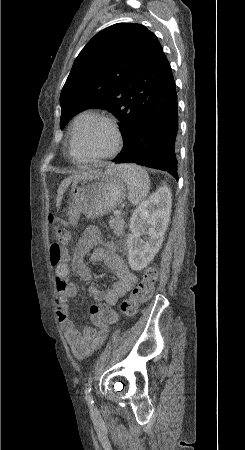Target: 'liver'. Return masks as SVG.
Returning <instances> with one entry per match:
<instances>
[{
	"label": "liver",
	"mask_w": 245,
	"mask_h": 450,
	"mask_svg": "<svg viewBox=\"0 0 245 450\" xmlns=\"http://www.w3.org/2000/svg\"><path fill=\"white\" fill-rule=\"evenodd\" d=\"M88 173H90V172L81 173V174H78V175H72V176L66 178L63 182H61V184H60V186L58 188V191H57V198H56V200H57V207H59V205L61 203V200H62V197H63V194H64L65 190L67 189V187L70 185V183L73 182L74 180H76L77 178H80V177H83V176L87 175Z\"/></svg>",
	"instance_id": "obj_1"
}]
</instances>
